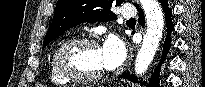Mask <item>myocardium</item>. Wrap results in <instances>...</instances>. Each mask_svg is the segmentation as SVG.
<instances>
[{
  "instance_id": "obj_1",
  "label": "myocardium",
  "mask_w": 205,
  "mask_h": 87,
  "mask_svg": "<svg viewBox=\"0 0 205 87\" xmlns=\"http://www.w3.org/2000/svg\"><path fill=\"white\" fill-rule=\"evenodd\" d=\"M79 45H91L100 48L98 41L91 37H78V38L69 39L63 42L54 53L53 62H54L55 69L60 76H62L63 78L69 81L79 82V83L96 82L104 75L105 72L104 68H102L99 72L93 75H81L64 66L63 63L64 54L70 48Z\"/></svg>"
}]
</instances>
